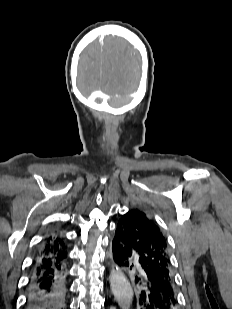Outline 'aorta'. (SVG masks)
Here are the masks:
<instances>
[{
  "mask_svg": "<svg viewBox=\"0 0 232 309\" xmlns=\"http://www.w3.org/2000/svg\"><path fill=\"white\" fill-rule=\"evenodd\" d=\"M110 285L116 301L123 309H127L133 298V291L126 277L117 270L110 273Z\"/></svg>",
  "mask_w": 232,
  "mask_h": 309,
  "instance_id": "762f6f07",
  "label": "aorta"
}]
</instances>
